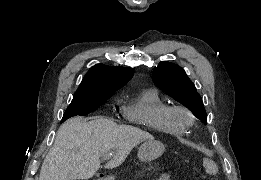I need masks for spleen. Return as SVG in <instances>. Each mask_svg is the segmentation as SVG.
I'll return each mask as SVG.
<instances>
[{"label": "spleen", "instance_id": "3e777b00", "mask_svg": "<svg viewBox=\"0 0 261 180\" xmlns=\"http://www.w3.org/2000/svg\"><path fill=\"white\" fill-rule=\"evenodd\" d=\"M206 172L207 174H217V168H215V166H212V164H210V166L206 168Z\"/></svg>", "mask_w": 261, "mask_h": 180}]
</instances>
